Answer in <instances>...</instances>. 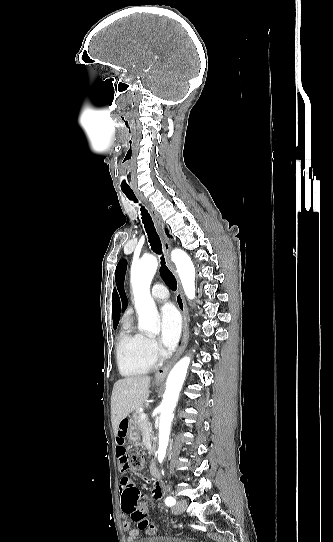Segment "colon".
<instances>
[{
	"mask_svg": "<svg viewBox=\"0 0 333 542\" xmlns=\"http://www.w3.org/2000/svg\"><path fill=\"white\" fill-rule=\"evenodd\" d=\"M129 470L136 473H141L145 465V457L138 451H132L128 458ZM142 489H123L120 498L124 514L130 516L131 520L138 525L141 531H145L146 534L151 535L154 533L155 528L150 524V519L147 513V509L140 508L138 500H142ZM149 507V504H146Z\"/></svg>",
	"mask_w": 333,
	"mask_h": 542,
	"instance_id": "1",
	"label": "colon"
}]
</instances>
